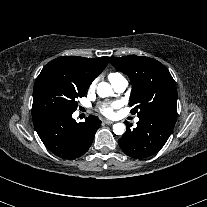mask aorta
Listing matches in <instances>:
<instances>
[{
	"mask_svg": "<svg viewBox=\"0 0 207 207\" xmlns=\"http://www.w3.org/2000/svg\"><path fill=\"white\" fill-rule=\"evenodd\" d=\"M113 93L112 87L106 82H100L97 86V94L100 97H109ZM125 131V125L123 123H116L113 125V132L116 135H122Z\"/></svg>",
	"mask_w": 207,
	"mask_h": 207,
	"instance_id": "762f6f07",
	"label": "aorta"
}]
</instances>
